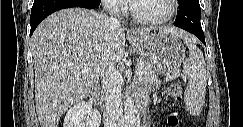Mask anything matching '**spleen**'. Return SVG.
Returning a JSON list of instances; mask_svg holds the SVG:
<instances>
[{
  "mask_svg": "<svg viewBox=\"0 0 243 127\" xmlns=\"http://www.w3.org/2000/svg\"><path fill=\"white\" fill-rule=\"evenodd\" d=\"M189 48V56L183 64V76L187 80L184 101L188 110L199 114L206 95L207 75L203 53L188 38L184 39Z\"/></svg>",
  "mask_w": 243,
  "mask_h": 127,
  "instance_id": "obj_1",
  "label": "spleen"
}]
</instances>
